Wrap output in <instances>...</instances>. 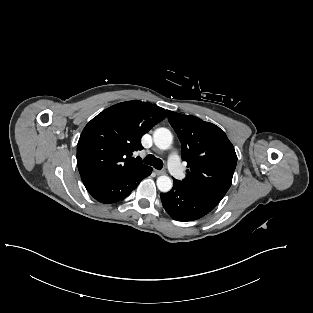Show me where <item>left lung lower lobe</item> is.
Returning a JSON list of instances; mask_svg holds the SVG:
<instances>
[{
    "instance_id": "1",
    "label": "left lung lower lobe",
    "mask_w": 313,
    "mask_h": 313,
    "mask_svg": "<svg viewBox=\"0 0 313 313\" xmlns=\"http://www.w3.org/2000/svg\"><path fill=\"white\" fill-rule=\"evenodd\" d=\"M174 186L167 193H161L164 209L175 220L193 221L208 214L218 203L215 199L187 189L173 178Z\"/></svg>"
}]
</instances>
